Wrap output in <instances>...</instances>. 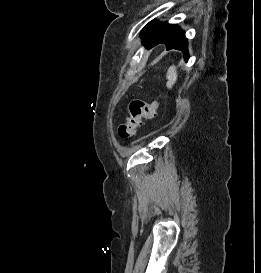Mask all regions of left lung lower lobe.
<instances>
[{
    "label": "left lung lower lobe",
    "instance_id": "left-lung-lower-lobe-1",
    "mask_svg": "<svg viewBox=\"0 0 261 273\" xmlns=\"http://www.w3.org/2000/svg\"><path fill=\"white\" fill-rule=\"evenodd\" d=\"M142 39L143 43L149 49L163 43L167 46V50H181L184 53L186 61L189 58L187 39L184 32L175 24L152 21L143 29Z\"/></svg>",
    "mask_w": 261,
    "mask_h": 273
}]
</instances>
